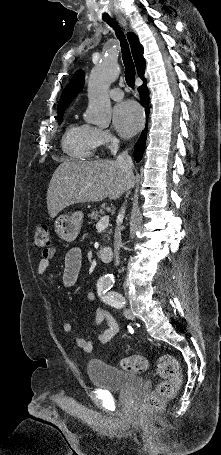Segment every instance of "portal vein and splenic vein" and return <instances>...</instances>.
Masks as SVG:
<instances>
[{"instance_id":"obj_1","label":"portal vein and splenic vein","mask_w":221,"mask_h":455,"mask_svg":"<svg viewBox=\"0 0 221 455\" xmlns=\"http://www.w3.org/2000/svg\"><path fill=\"white\" fill-rule=\"evenodd\" d=\"M109 225V216L101 217L97 222L96 228H106Z\"/></svg>"}]
</instances>
